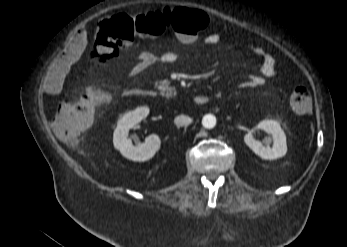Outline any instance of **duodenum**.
Returning <instances> with one entry per match:
<instances>
[{
	"mask_svg": "<svg viewBox=\"0 0 347 247\" xmlns=\"http://www.w3.org/2000/svg\"><path fill=\"white\" fill-rule=\"evenodd\" d=\"M130 96H141V97H153L154 92L147 89L131 88L127 91ZM209 98L206 95H197L194 97L193 102L196 105H204L208 103Z\"/></svg>",
	"mask_w": 347,
	"mask_h": 247,
	"instance_id": "410a0bca",
	"label": "duodenum"
}]
</instances>
